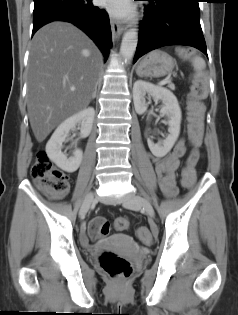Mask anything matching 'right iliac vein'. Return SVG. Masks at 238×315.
I'll return each mask as SVG.
<instances>
[{
  "instance_id": "right-iliac-vein-1",
  "label": "right iliac vein",
  "mask_w": 238,
  "mask_h": 315,
  "mask_svg": "<svg viewBox=\"0 0 238 315\" xmlns=\"http://www.w3.org/2000/svg\"><path fill=\"white\" fill-rule=\"evenodd\" d=\"M95 201V197H94V194L92 192L88 193L86 196H85V199L82 203V206L80 208V212H79V215L80 217H84L86 215V213L88 212L91 204Z\"/></svg>"
}]
</instances>
